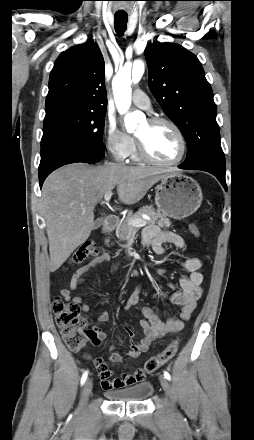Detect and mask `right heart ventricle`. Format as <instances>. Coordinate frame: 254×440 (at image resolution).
I'll use <instances>...</instances> for the list:
<instances>
[{"label":"right heart ventricle","instance_id":"right-heart-ventricle-1","mask_svg":"<svg viewBox=\"0 0 254 440\" xmlns=\"http://www.w3.org/2000/svg\"><path fill=\"white\" fill-rule=\"evenodd\" d=\"M131 158L133 159V160H135V161H139L140 160V157H139V155H138V152H137V150L134 148V150H133V152H132V154H131Z\"/></svg>","mask_w":254,"mask_h":440}]
</instances>
